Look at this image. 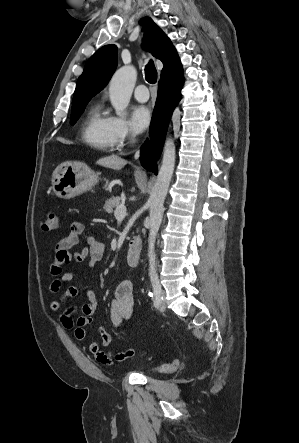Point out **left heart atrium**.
Instances as JSON below:
<instances>
[{"mask_svg":"<svg viewBox=\"0 0 299 443\" xmlns=\"http://www.w3.org/2000/svg\"><path fill=\"white\" fill-rule=\"evenodd\" d=\"M150 110L143 105L136 106L131 114V123L136 132L144 131L150 124Z\"/></svg>","mask_w":299,"mask_h":443,"instance_id":"1","label":"left heart atrium"}]
</instances>
